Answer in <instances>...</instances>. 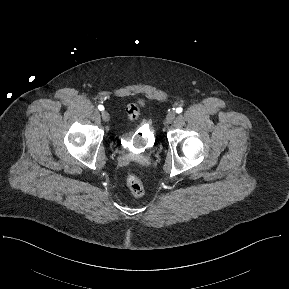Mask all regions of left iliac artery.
I'll use <instances>...</instances> for the list:
<instances>
[{"label": "left iliac artery", "mask_w": 289, "mask_h": 289, "mask_svg": "<svg viewBox=\"0 0 289 289\" xmlns=\"http://www.w3.org/2000/svg\"><path fill=\"white\" fill-rule=\"evenodd\" d=\"M182 110L183 109L181 107H178V108H176V113H181ZM166 121L169 122V115L167 116Z\"/></svg>", "instance_id": "left-iliac-artery-1"}]
</instances>
